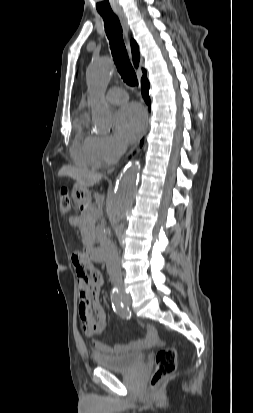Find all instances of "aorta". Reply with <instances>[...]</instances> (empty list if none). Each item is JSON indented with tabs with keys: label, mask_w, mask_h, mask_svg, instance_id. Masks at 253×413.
I'll use <instances>...</instances> for the list:
<instances>
[{
	"label": "aorta",
	"mask_w": 253,
	"mask_h": 413,
	"mask_svg": "<svg viewBox=\"0 0 253 413\" xmlns=\"http://www.w3.org/2000/svg\"><path fill=\"white\" fill-rule=\"evenodd\" d=\"M114 65L110 59L94 60L86 72L89 89L88 104L96 129L108 132L113 123V112L105 102L104 95L109 85ZM139 163L132 161L120 173L114 193L108 204V216L112 224L118 223L132 205L137 191Z\"/></svg>",
	"instance_id": "1"
}]
</instances>
